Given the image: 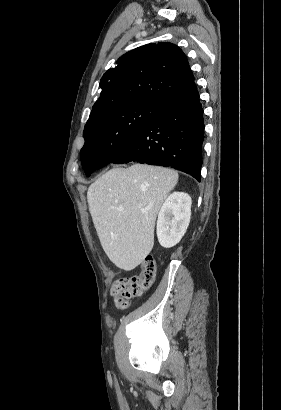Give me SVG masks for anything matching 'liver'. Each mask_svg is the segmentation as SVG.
I'll return each instance as SVG.
<instances>
[{"label":"liver","instance_id":"obj_1","mask_svg":"<svg viewBox=\"0 0 281 410\" xmlns=\"http://www.w3.org/2000/svg\"><path fill=\"white\" fill-rule=\"evenodd\" d=\"M178 177L172 169L134 164L113 168L89 186V211L101 246L118 268L130 271L151 252L156 216Z\"/></svg>","mask_w":281,"mask_h":410}]
</instances>
